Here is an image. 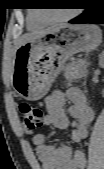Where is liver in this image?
Listing matches in <instances>:
<instances>
[{
    "instance_id": "6515ba94",
    "label": "liver",
    "mask_w": 104,
    "mask_h": 169,
    "mask_svg": "<svg viewBox=\"0 0 104 169\" xmlns=\"http://www.w3.org/2000/svg\"><path fill=\"white\" fill-rule=\"evenodd\" d=\"M48 30H44V31H39V32H36V33H31V34H27V35H24L22 36L18 41H17V44H16V49L21 46L22 44L28 42V41H31L37 37H39L40 35L46 33Z\"/></svg>"
}]
</instances>
